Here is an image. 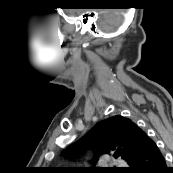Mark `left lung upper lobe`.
I'll list each match as a JSON object with an SVG mask.
<instances>
[{
    "label": "left lung upper lobe",
    "instance_id": "5c2ea615",
    "mask_svg": "<svg viewBox=\"0 0 173 173\" xmlns=\"http://www.w3.org/2000/svg\"><path fill=\"white\" fill-rule=\"evenodd\" d=\"M144 131L131 119L116 115L98 122L84 137L68 147L64 153L74 156L94 148L95 157L92 164L95 165L102 154H112L113 157H121L128 164L132 157L139 151L143 144ZM75 173H110L117 172L110 168H61Z\"/></svg>",
    "mask_w": 173,
    "mask_h": 173
}]
</instances>
